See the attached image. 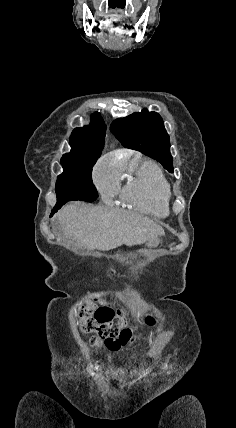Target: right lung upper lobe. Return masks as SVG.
<instances>
[{"mask_svg": "<svg viewBox=\"0 0 236 428\" xmlns=\"http://www.w3.org/2000/svg\"><path fill=\"white\" fill-rule=\"evenodd\" d=\"M106 125L98 112L91 115L88 126L76 128L70 136L71 150L61 158L62 165L95 164L104 147Z\"/></svg>", "mask_w": 236, "mask_h": 428, "instance_id": "obj_1", "label": "right lung upper lobe"}]
</instances>
